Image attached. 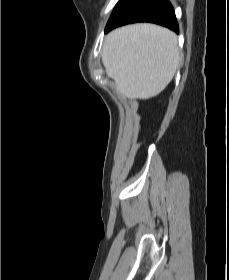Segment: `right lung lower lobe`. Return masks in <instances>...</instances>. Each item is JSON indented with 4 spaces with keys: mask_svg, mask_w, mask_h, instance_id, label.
Masks as SVG:
<instances>
[{
    "mask_svg": "<svg viewBox=\"0 0 229 280\" xmlns=\"http://www.w3.org/2000/svg\"><path fill=\"white\" fill-rule=\"evenodd\" d=\"M135 22L156 23L179 33L176 16L168 0H120L105 32Z\"/></svg>",
    "mask_w": 229,
    "mask_h": 280,
    "instance_id": "1",
    "label": "right lung lower lobe"
}]
</instances>
